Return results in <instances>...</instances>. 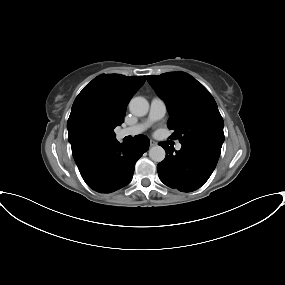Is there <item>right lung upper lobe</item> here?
<instances>
[{
    "mask_svg": "<svg viewBox=\"0 0 285 285\" xmlns=\"http://www.w3.org/2000/svg\"><path fill=\"white\" fill-rule=\"evenodd\" d=\"M145 80L146 76L102 74L82 89L67 122L73 154L93 145L89 138L91 127H116L124 121L127 104Z\"/></svg>",
    "mask_w": 285,
    "mask_h": 285,
    "instance_id": "right-lung-upper-lobe-1",
    "label": "right lung upper lobe"
}]
</instances>
